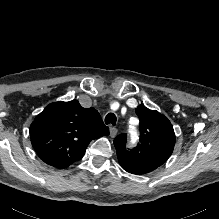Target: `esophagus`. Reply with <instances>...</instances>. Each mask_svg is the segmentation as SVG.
Instances as JSON below:
<instances>
[{"label":"esophagus","instance_id":"obj_1","mask_svg":"<svg viewBox=\"0 0 219 219\" xmlns=\"http://www.w3.org/2000/svg\"><path fill=\"white\" fill-rule=\"evenodd\" d=\"M109 131H110V136L112 138H114L117 135V133H118V130L115 127H113V126H110Z\"/></svg>","mask_w":219,"mask_h":219}]
</instances>
